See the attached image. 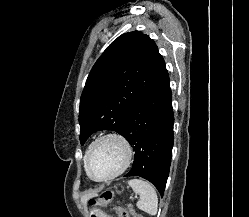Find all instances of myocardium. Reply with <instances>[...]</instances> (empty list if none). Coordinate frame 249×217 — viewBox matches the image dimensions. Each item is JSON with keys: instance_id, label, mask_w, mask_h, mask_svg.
<instances>
[{"instance_id": "obj_1", "label": "myocardium", "mask_w": 249, "mask_h": 217, "mask_svg": "<svg viewBox=\"0 0 249 217\" xmlns=\"http://www.w3.org/2000/svg\"><path fill=\"white\" fill-rule=\"evenodd\" d=\"M106 140H115L123 147L124 152H125L124 161H123L122 165L112 174H110L106 177H103V178H96L91 174V171L89 168V159H90V156H91L93 150L95 149V147L99 143L106 141ZM133 154L134 153H133V148L131 146V143L123 134H121L119 132H114V131L107 132L105 134L100 135L98 138H96L90 144V146L85 154V157H84V168H85V171H86L88 177L90 179H92L93 181L107 182V181H110V180L120 176L128 169V167L130 166V164L132 162Z\"/></svg>"}]
</instances>
